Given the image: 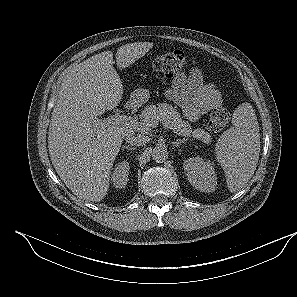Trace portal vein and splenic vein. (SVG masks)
<instances>
[{
    "instance_id": "1",
    "label": "portal vein and splenic vein",
    "mask_w": 297,
    "mask_h": 297,
    "mask_svg": "<svg viewBox=\"0 0 297 297\" xmlns=\"http://www.w3.org/2000/svg\"><path fill=\"white\" fill-rule=\"evenodd\" d=\"M99 123L102 125H123L137 129H146L147 126H151L150 124H145L141 121H138L135 118L126 115H113L108 118H105L104 120L99 121ZM164 127L168 128L166 124L164 125Z\"/></svg>"
}]
</instances>
